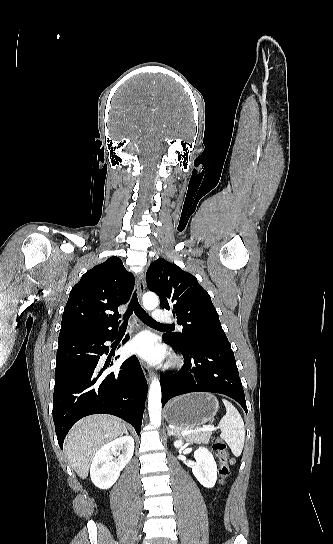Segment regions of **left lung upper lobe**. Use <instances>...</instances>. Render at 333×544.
<instances>
[{"label": "left lung upper lobe", "instance_id": "left-lung-upper-lobe-1", "mask_svg": "<svg viewBox=\"0 0 333 544\" xmlns=\"http://www.w3.org/2000/svg\"><path fill=\"white\" fill-rule=\"evenodd\" d=\"M149 289L160 299L163 309H173L182 332L164 334L178 348L212 342L230 345L218 313L207 291L192 274L165 259L152 262L146 274Z\"/></svg>", "mask_w": 333, "mask_h": 544}]
</instances>
